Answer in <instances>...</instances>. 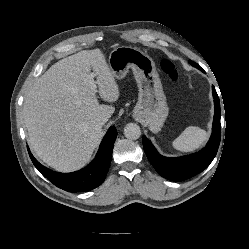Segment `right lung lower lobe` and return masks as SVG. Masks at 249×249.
<instances>
[{"label":"right lung lower lobe","instance_id":"98d812e1","mask_svg":"<svg viewBox=\"0 0 249 249\" xmlns=\"http://www.w3.org/2000/svg\"><path fill=\"white\" fill-rule=\"evenodd\" d=\"M116 136V128L110 127L100 144L95 159L87 167L72 173L52 171L41 165L33 157L29 148L28 152L35 167L54 185L69 192H85L103 183L111 163Z\"/></svg>","mask_w":249,"mask_h":249}]
</instances>
